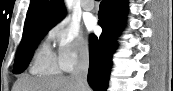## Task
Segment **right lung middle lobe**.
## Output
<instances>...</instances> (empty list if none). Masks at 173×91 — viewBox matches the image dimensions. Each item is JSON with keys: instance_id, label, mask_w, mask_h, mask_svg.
<instances>
[{"instance_id": "1", "label": "right lung middle lobe", "mask_w": 173, "mask_h": 91, "mask_svg": "<svg viewBox=\"0 0 173 91\" xmlns=\"http://www.w3.org/2000/svg\"><path fill=\"white\" fill-rule=\"evenodd\" d=\"M53 26L42 25L29 31L23 32V37L19 45L13 71L19 74L27 67L31 60L34 50L39 42Z\"/></svg>"}]
</instances>
